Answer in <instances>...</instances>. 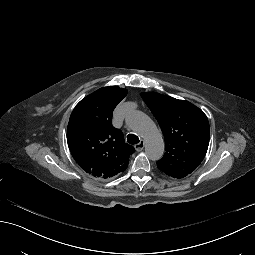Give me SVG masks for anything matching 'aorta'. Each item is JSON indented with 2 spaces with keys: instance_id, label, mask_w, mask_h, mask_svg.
<instances>
[{
  "instance_id": "obj_1",
  "label": "aorta",
  "mask_w": 255,
  "mask_h": 255,
  "mask_svg": "<svg viewBox=\"0 0 255 255\" xmlns=\"http://www.w3.org/2000/svg\"><path fill=\"white\" fill-rule=\"evenodd\" d=\"M126 121L133 131L144 138L148 158L159 160L164 154V142L155 123L141 111H131Z\"/></svg>"
}]
</instances>
